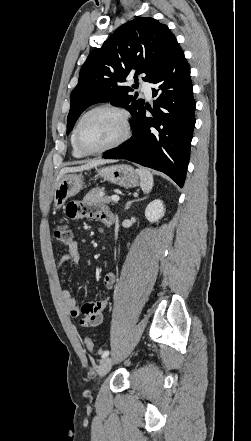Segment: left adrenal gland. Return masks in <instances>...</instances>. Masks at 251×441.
<instances>
[{
	"label": "left adrenal gland",
	"instance_id": "1",
	"mask_svg": "<svg viewBox=\"0 0 251 441\" xmlns=\"http://www.w3.org/2000/svg\"><path fill=\"white\" fill-rule=\"evenodd\" d=\"M139 200H142V199H137V200H132V201L127 202V204L125 206V210H128L130 208V206L132 205V203L137 202Z\"/></svg>",
	"mask_w": 251,
	"mask_h": 441
}]
</instances>
